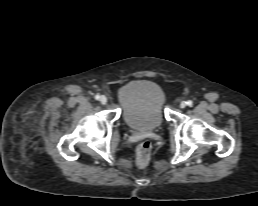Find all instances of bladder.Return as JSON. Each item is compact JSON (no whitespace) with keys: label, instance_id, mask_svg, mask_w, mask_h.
I'll return each instance as SVG.
<instances>
[{"label":"bladder","instance_id":"1","mask_svg":"<svg viewBox=\"0 0 258 206\" xmlns=\"http://www.w3.org/2000/svg\"><path fill=\"white\" fill-rule=\"evenodd\" d=\"M122 119L134 130H154L164 122L165 96L158 84L135 80L121 86L117 92Z\"/></svg>","mask_w":258,"mask_h":206}]
</instances>
